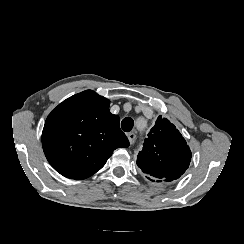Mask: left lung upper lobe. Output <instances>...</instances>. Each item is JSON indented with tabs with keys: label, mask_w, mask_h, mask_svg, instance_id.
I'll list each match as a JSON object with an SVG mask.
<instances>
[{
	"label": "left lung upper lobe",
	"mask_w": 244,
	"mask_h": 244,
	"mask_svg": "<svg viewBox=\"0 0 244 244\" xmlns=\"http://www.w3.org/2000/svg\"><path fill=\"white\" fill-rule=\"evenodd\" d=\"M191 151L176 127L159 116L137 156V165L150 181L171 182L189 167Z\"/></svg>",
	"instance_id": "left-lung-upper-lobe-1"
}]
</instances>
